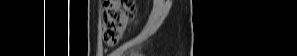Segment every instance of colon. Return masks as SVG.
I'll list each match as a JSON object with an SVG mask.
<instances>
[{
    "label": "colon",
    "mask_w": 297,
    "mask_h": 56,
    "mask_svg": "<svg viewBox=\"0 0 297 56\" xmlns=\"http://www.w3.org/2000/svg\"><path fill=\"white\" fill-rule=\"evenodd\" d=\"M101 13L104 42L114 46L121 40L135 16V1L107 0L102 5Z\"/></svg>",
    "instance_id": "5ec220e1"
}]
</instances>
